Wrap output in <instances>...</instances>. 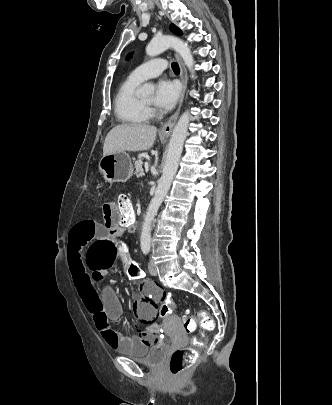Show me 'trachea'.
Wrapping results in <instances>:
<instances>
[{
  "label": "trachea",
  "instance_id": "3493384b",
  "mask_svg": "<svg viewBox=\"0 0 332 405\" xmlns=\"http://www.w3.org/2000/svg\"><path fill=\"white\" fill-rule=\"evenodd\" d=\"M172 69L175 73H180L179 65L176 62L172 63Z\"/></svg>",
  "mask_w": 332,
  "mask_h": 405
}]
</instances>
